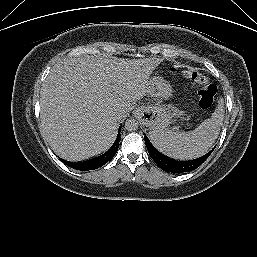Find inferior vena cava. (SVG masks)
Instances as JSON below:
<instances>
[{
    "label": "inferior vena cava",
    "mask_w": 257,
    "mask_h": 257,
    "mask_svg": "<svg viewBox=\"0 0 257 257\" xmlns=\"http://www.w3.org/2000/svg\"><path fill=\"white\" fill-rule=\"evenodd\" d=\"M120 119V116L119 115H116V116H114V120H119Z\"/></svg>",
    "instance_id": "obj_1"
}]
</instances>
